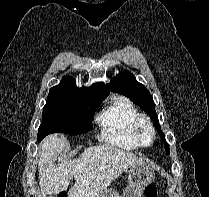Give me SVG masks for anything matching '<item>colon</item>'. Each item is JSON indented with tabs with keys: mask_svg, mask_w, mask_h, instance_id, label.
<instances>
[{
	"mask_svg": "<svg viewBox=\"0 0 209 197\" xmlns=\"http://www.w3.org/2000/svg\"><path fill=\"white\" fill-rule=\"evenodd\" d=\"M145 197H157V187L154 183H151L145 187L144 190ZM59 197H67L66 194L61 193Z\"/></svg>",
	"mask_w": 209,
	"mask_h": 197,
	"instance_id": "1",
	"label": "colon"
}]
</instances>
